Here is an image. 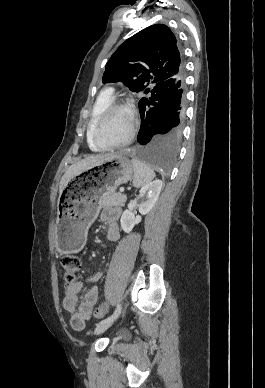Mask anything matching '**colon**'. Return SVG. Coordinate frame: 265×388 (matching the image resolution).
I'll return each instance as SVG.
<instances>
[{
  "label": "colon",
  "instance_id": "obj_1",
  "mask_svg": "<svg viewBox=\"0 0 265 388\" xmlns=\"http://www.w3.org/2000/svg\"><path fill=\"white\" fill-rule=\"evenodd\" d=\"M61 264L64 272V280L66 284L71 285L72 283H74L77 274L80 270L81 261L76 255L70 254L63 257ZM106 314L107 307L104 304L97 306L93 310V316L96 318L103 317Z\"/></svg>",
  "mask_w": 265,
  "mask_h": 388
}]
</instances>
